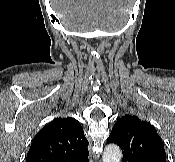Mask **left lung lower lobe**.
Returning a JSON list of instances; mask_svg holds the SVG:
<instances>
[{
    "mask_svg": "<svg viewBox=\"0 0 175 162\" xmlns=\"http://www.w3.org/2000/svg\"><path fill=\"white\" fill-rule=\"evenodd\" d=\"M146 162H160V161H157V160H149V161H146Z\"/></svg>",
    "mask_w": 175,
    "mask_h": 162,
    "instance_id": "obj_1",
    "label": "left lung lower lobe"
}]
</instances>
